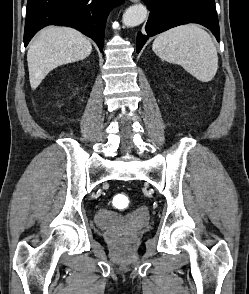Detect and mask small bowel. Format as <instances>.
<instances>
[{
    "label": "small bowel",
    "mask_w": 249,
    "mask_h": 294,
    "mask_svg": "<svg viewBox=\"0 0 249 294\" xmlns=\"http://www.w3.org/2000/svg\"><path fill=\"white\" fill-rule=\"evenodd\" d=\"M102 212L106 215H109V212L106 210H103ZM145 217H146V214H145L144 210H141V212L137 215V218H139L141 220L145 219Z\"/></svg>",
    "instance_id": "c3829d8e"
}]
</instances>
